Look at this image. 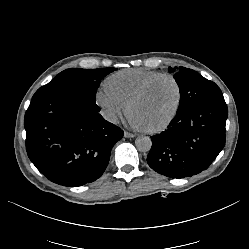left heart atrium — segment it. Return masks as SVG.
<instances>
[{"mask_svg": "<svg viewBox=\"0 0 249 249\" xmlns=\"http://www.w3.org/2000/svg\"><path fill=\"white\" fill-rule=\"evenodd\" d=\"M126 121L127 123L136 130H146L145 126L142 124L139 116L137 115L136 112H134L133 110H130L127 115H126Z\"/></svg>", "mask_w": 249, "mask_h": 249, "instance_id": "left-heart-atrium-1", "label": "left heart atrium"}]
</instances>
